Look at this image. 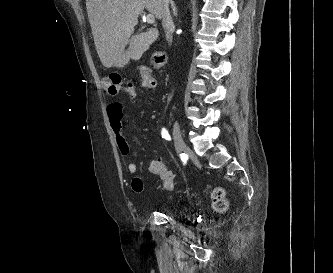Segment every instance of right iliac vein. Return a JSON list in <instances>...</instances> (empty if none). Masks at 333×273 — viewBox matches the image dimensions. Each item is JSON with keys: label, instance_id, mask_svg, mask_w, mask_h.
Returning a JSON list of instances; mask_svg holds the SVG:
<instances>
[{"label": "right iliac vein", "instance_id": "obj_1", "mask_svg": "<svg viewBox=\"0 0 333 273\" xmlns=\"http://www.w3.org/2000/svg\"><path fill=\"white\" fill-rule=\"evenodd\" d=\"M173 137L175 140L177 153H181L186 149V145L181 134L180 126L177 121H175L173 124Z\"/></svg>", "mask_w": 333, "mask_h": 273}]
</instances>
